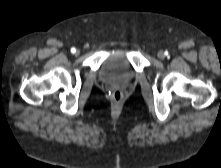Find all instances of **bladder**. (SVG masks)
I'll return each mask as SVG.
<instances>
[{"mask_svg":"<svg viewBox=\"0 0 221 168\" xmlns=\"http://www.w3.org/2000/svg\"><path fill=\"white\" fill-rule=\"evenodd\" d=\"M134 72L125 53L116 52L110 55L102 64L100 76L104 81H127L132 78Z\"/></svg>","mask_w":221,"mask_h":168,"instance_id":"bladder-1","label":"bladder"}]
</instances>
